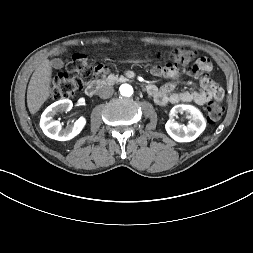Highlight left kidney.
Here are the masks:
<instances>
[{"mask_svg":"<svg viewBox=\"0 0 253 253\" xmlns=\"http://www.w3.org/2000/svg\"><path fill=\"white\" fill-rule=\"evenodd\" d=\"M186 113L189 118V124L183 126L178 124L173 117L178 114ZM206 127L205 119L199 109L192 105L179 104L170 111V119L165 124V129L169 136L177 142H191L195 140Z\"/></svg>","mask_w":253,"mask_h":253,"instance_id":"5707ae66","label":"left kidney"}]
</instances>
